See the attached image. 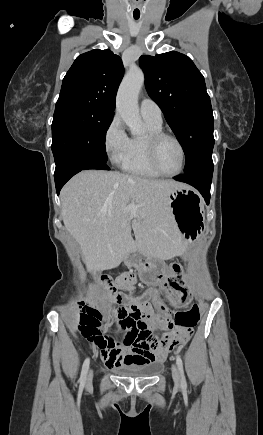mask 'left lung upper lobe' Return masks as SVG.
<instances>
[{"label": "left lung upper lobe", "mask_w": 263, "mask_h": 435, "mask_svg": "<svg viewBox=\"0 0 263 435\" xmlns=\"http://www.w3.org/2000/svg\"><path fill=\"white\" fill-rule=\"evenodd\" d=\"M149 96L158 104L180 141L186 156L185 170L212 156L214 137L212 107L203 75L184 54L171 51L141 56Z\"/></svg>", "instance_id": "left-lung-upper-lobe-1"}]
</instances>
